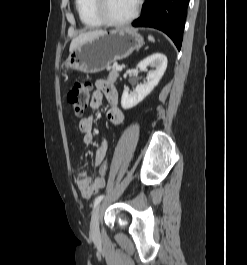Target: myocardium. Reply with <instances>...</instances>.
I'll return each instance as SVG.
<instances>
[{"mask_svg": "<svg viewBox=\"0 0 247 265\" xmlns=\"http://www.w3.org/2000/svg\"><path fill=\"white\" fill-rule=\"evenodd\" d=\"M143 0H137L134 10L130 16L125 19L117 20L109 16L107 12V0H94L93 8L101 22L111 27H123L132 23L139 15Z\"/></svg>", "mask_w": 247, "mask_h": 265, "instance_id": "f54148a6", "label": "myocardium"}]
</instances>
